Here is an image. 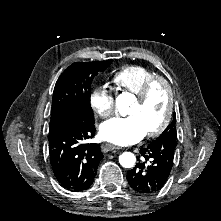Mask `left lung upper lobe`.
<instances>
[{"instance_id":"5c2ea615","label":"left lung upper lobe","mask_w":221,"mask_h":221,"mask_svg":"<svg viewBox=\"0 0 221 221\" xmlns=\"http://www.w3.org/2000/svg\"><path fill=\"white\" fill-rule=\"evenodd\" d=\"M176 115L174 114V119L170 125L167 126V128L164 130V132L156 139H163V138H168L175 140L177 139V132H176Z\"/></svg>"}]
</instances>
